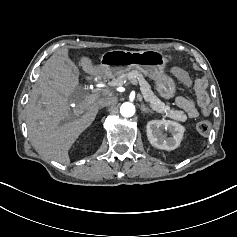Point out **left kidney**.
Wrapping results in <instances>:
<instances>
[{
  "mask_svg": "<svg viewBox=\"0 0 237 237\" xmlns=\"http://www.w3.org/2000/svg\"><path fill=\"white\" fill-rule=\"evenodd\" d=\"M164 130L169 131L170 138H165ZM183 133L184 128L177 122L153 120L147 123V138L150 144L158 149L166 151L176 149L181 142Z\"/></svg>",
  "mask_w": 237,
  "mask_h": 237,
  "instance_id": "left-kidney-1",
  "label": "left kidney"
}]
</instances>
